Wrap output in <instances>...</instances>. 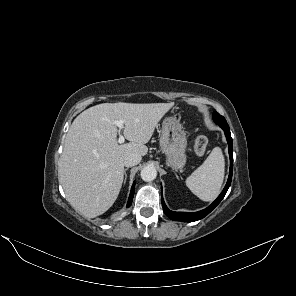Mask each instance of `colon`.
<instances>
[{"instance_id": "1", "label": "colon", "mask_w": 296, "mask_h": 296, "mask_svg": "<svg viewBox=\"0 0 296 296\" xmlns=\"http://www.w3.org/2000/svg\"><path fill=\"white\" fill-rule=\"evenodd\" d=\"M208 140L205 136H198L195 139L194 150L197 155H203L207 149Z\"/></svg>"}]
</instances>
